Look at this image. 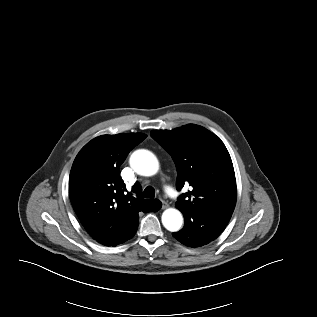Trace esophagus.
Segmentation results:
<instances>
[{"mask_svg": "<svg viewBox=\"0 0 317 317\" xmlns=\"http://www.w3.org/2000/svg\"><path fill=\"white\" fill-rule=\"evenodd\" d=\"M167 207H169L168 203L165 201H162V208L166 209Z\"/></svg>", "mask_w": 317, "mask_h": 317, "instance_id": "34e87169", "label": "esophagus"}]
</instances>
